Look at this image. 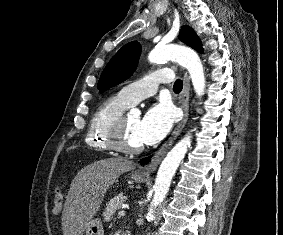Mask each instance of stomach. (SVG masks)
Segmentation results:
<instances>
[{"mask_svg": "<svg viewBox=\"0 0 283 235\" xmlns=\"http://www.w3.org/2000/svg\"><path fill=\"white\" fill-rule=\"evenodd\" d=\"M131 178L136 182H144L146 176L139 174L137 171L132 172ZM85 235H104L102 222L99 218L91 219L85 229Z\"/></svg>", "mask_w": 283, "mask_h": 235, "instance_id": "0dacf381", "label": "stomach"}]
</instances>
